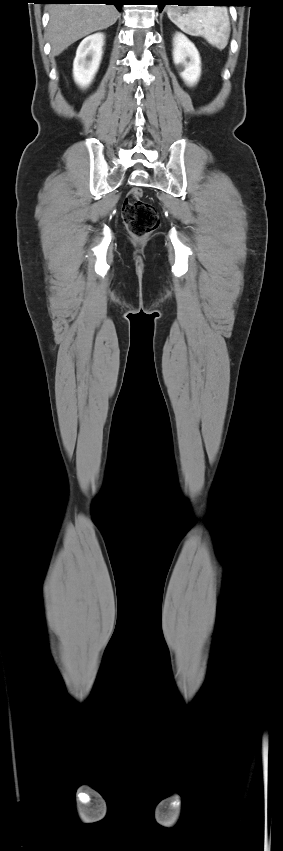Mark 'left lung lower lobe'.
<instances>
[{"label":"left lung lower lobe","mask_w":283,"mask_h":851,"mask_svg":"<svg viewBox=\"0 0 283 851\" xmlns=\"http://www.w3.org/2000/svg\"><path fill=\"white\" fill-rule=\"evenodd\" d=\"M230 0H156L159 5L160 12L163 7L167 4H177V5H224L227 6V2Z\"/></svg>","instance_id":"1"}]
</instances>
